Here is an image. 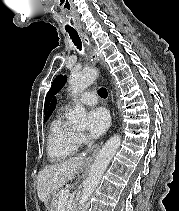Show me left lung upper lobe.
I'll use <instances>...</instances> for the list:
<instances>
[{
    "instance_id": "5c2ea615",
    "label": "left lung upper lobe",
    "mask_w": 179,
    "mask_h": 211,
    "mask_svg": "<svg viewBox=\"0 0 179 211\" xmlns=\"http://www.w3.org/2000/svg\"><path fill=\"white\" fill-rule=\"evenodd\" d=\"M65 82H66V76H63V75H59L54 79L52 86L50 90L48 91L46 99H45L44 112L46 111L52 96L60 91V89L64 86Z\"/></svg>"
}]
</instances>
